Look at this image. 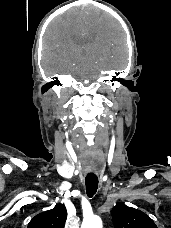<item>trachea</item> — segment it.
Masks as SVG:
<instances>
[{
  "label": "trachea",
  "instance_id": "1",
  "mask_svg": "<svg viewBox=\"0 0 171 228\" xmlns=\"http://www.w3.org/2000/svg\"><path fill=\"white\" fill-rule=\"evenodd\" d=\"M86 192L89 198L93 197L98 189V177L86 176L85 177Z\"/></svg>",
  "mask_w": 171,
  "mask_h": 228
}]
</instances>
